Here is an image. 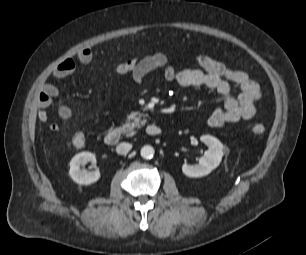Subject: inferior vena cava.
<instances>
[{"instance_id":"inferior-vena-cava-1","label":"inferior vena cava","mask_w":306,"mask_h":255,"mask_svg":"<svg viewBox=\"0 0 306 255\" xmlns=\"http://www.w3.org/2000/svg\"><path fill=\"white\" fill-rule=\"evenodd\" d=\"M132 148V145L130 143H120L117 145L116 147V152L118 154H121V155H126Z\"/></svg>"}]
</instances>
